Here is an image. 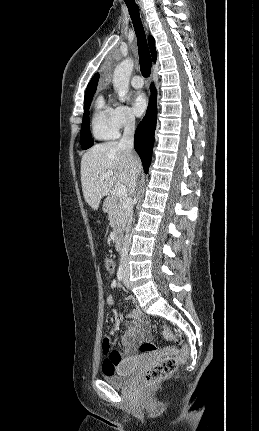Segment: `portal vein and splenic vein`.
Returning a JSON list of instances; mask_svg holds the SVG:
<instances>
[{"mask_svg":"<svg viewBox=\"0 0 259 431\" xmlns=\"http://www.w3.org/2000/svg\"><path fill=\"white\" fill-rule=\"evenodd\" d=\"M113 175L112 171H107L106 173H104L103 175L100 176V180L103 181L104 179L110 177ZM116 194L118 196H124L127 194V188L124 185H120L116 188Z\"/></svg>","mask_w":259,"mask_h":431,"instance_id":"1","label":"portal vein and splenic vein"}]
</instances>
